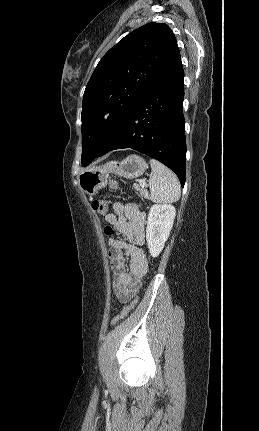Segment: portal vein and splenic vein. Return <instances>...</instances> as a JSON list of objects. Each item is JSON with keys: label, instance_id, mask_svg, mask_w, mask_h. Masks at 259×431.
<instances>
[{"label": "portal vein and splenic vein", "instance_id": "portal-vein-and-splenic-vein-1", "mask_svg": "<svg viewBox=\"0 0 259 431\" xmlns=\"http://www.w3.org/2000/svg\"><path fill=\"white\" fill-rule=\"evenodd\" d=\"M139 183L141 184V185H143V186H145L146 185V183H145V180H139Z\"/></svg>", "mask_w": 259, "mask_h": 431}]
</instances>
